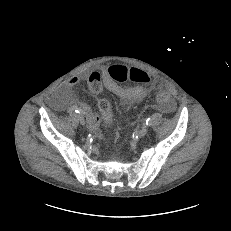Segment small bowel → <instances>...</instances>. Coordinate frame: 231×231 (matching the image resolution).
<instances>
[{
	"instance_id": "1",
	"label": "small bowel",
	"mask_w": 231,
	"mask_h": 231,
	"mask_svg": "<svg viewBox=\"0 0 231 231\" xmlns=\"http://www.w3.org/2000/svg\"><path fill=\"white\" fill-rule=\"evenodd\" d=\"M96 80H100L101 83L104 84V86L111 91L112 93H114L115 95H117L120 100L121 103L123 105H131L134 103H137L139 101H141L142 99H144L151 91L153 84L152 85H148V83L150 82L149 78L148 81L146 83H141L138 84L134 87H130V88H124L120 85H118L117 83H113L108 75V70L106 68H102L101 72H91L88 77H87V84L89 89L94 92L91 88V84L96 81ZM80 83V79L76 76L70 77L66 82H65V87H67L68 89H73L75 87H77ZM95 93V92H94ZM78 104L81 106V108L84 110V112L86 113L87 117H88V123H89V128L94 131L96 134H99V126H100V117L95 114L94 112H92L89 104L87 102H85L84 100L81 99H77ZM173 108V105H169L166 107V111H171Z\"/></svg>"
}]
</instances>
